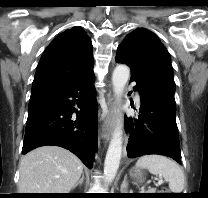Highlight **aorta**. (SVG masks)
Returning <instances> with one entry per match:
<instances>
[{
	"instance_id": "aorta-1",
	"label": "aorta",
	"mask_w": 208,
	"mask_h": 198,
	"mask_svg": "<svg viewBox=\"0 0 208 198\" xmlns=\"http://www.w3.org/2000/svg\"><path fill=\"white\" fill-rule=\"evenodd\" d=\"M130 69L126 65H118L113 71L112 84L115 96L120 98L129 79ZM122 124L117 123L109 143L104 162V176L107 183H111L118 171L122 155Z\"/></svg>"
}]
</instances>
